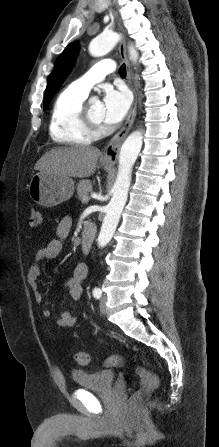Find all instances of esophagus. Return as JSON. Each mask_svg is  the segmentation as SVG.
<instances>
[{"label": "esophagus", "mask_w": 219, "mask_h": 447, "mask_svg": "<svg viewBox=\"0 0 219 447\" xmlns=\"http://www.w3.org/2000/svg\"><path fill=\"white\" fill-rule=\"evenodd\" d=\"M119 53H120L121 59L126 64L127 80H128V84L133 92L134 100H133V104L131 106L128 117H127L123 127L112 137V139L110 140L109 144L107 145V147L105 148V150L103 152L102 159L109 164L116 163L118 156H119L120 147H121L123 141L125 140L126 136L128 135L129 131L131 130L132 125L135 120V117H136V113H137V92H136V89L132 82V71H131L130 63H129V60L127 57L126 43L124 40H122L120 42Z\"/></svg>", "instance_id": "obj_1"}]
</instances>
